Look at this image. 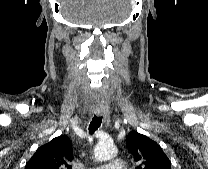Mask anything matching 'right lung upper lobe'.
<instances>
[{"instance_id":"cb5924a9","label":"right lung upper lobe","mask_w":208,"mask_h":169,"mask_svg":"<svg viewBox=\"0 0 208 169\" xmlns=\"http://www.w3.org/2000/svg\"><path fill=\"white\" fill-rule=\"evenodd\" d=\"M72 160L71 140L61 135L39 147L25 169H71Z\"/></svg>"}]
</instances>
